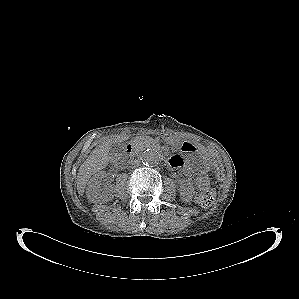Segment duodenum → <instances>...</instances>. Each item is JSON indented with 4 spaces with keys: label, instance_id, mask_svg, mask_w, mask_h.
<instances>
[{
    "label": "duodenum",
    "instance_id": "duodenum-1",
    "mask_svg": "<svg viewBox=\"0 0 299 299\" xmlns=\"http://www.w3.org/2000/svg\"><path fill=\"white\" fill-rule=\"evenodd\" d=\"M136 151V147L133 143H129L126 147V153L128 155H133Z\"/></svg>",
    "mask_w": 299,
    "mask_h": 299
}]
</instances>
